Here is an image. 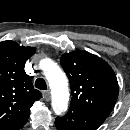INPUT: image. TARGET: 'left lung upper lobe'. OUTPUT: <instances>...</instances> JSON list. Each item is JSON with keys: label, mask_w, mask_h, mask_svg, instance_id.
I'll return each mask as SVG.
<instances>
[{"label": "left lung upper lobe", "mask_w": 130, "mask_h": 130, "mask_svg": "<svg viewBox=\"0 0 130 130\" xmlns=\"http://www.w3.org/2000/svg\"><path fill=\"white\" fill-rule=\"evenodd\" d=\"M60 63L70 81V107L106 119L118 97L117 78L109 64L84 50L63 54Z\"/></svg>", "instance_id": "5c2ea615"}]
</instances>
